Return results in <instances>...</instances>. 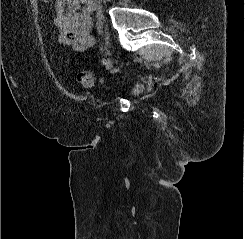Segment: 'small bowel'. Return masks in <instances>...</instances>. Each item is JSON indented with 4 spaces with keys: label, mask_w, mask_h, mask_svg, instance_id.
<instances>
[{
    "label": "small bowel",
    "mask_w": 245,
    "mask_h": 239,
    "mask_svg": "<svg viewBox=\"0 0 245 239\" xmlns=\"http://www.w3.org/2000/svg\"><path fill=\"white\" fill-rule=\"evenodd\" d=\"M96 7L97 0H56L54 24L60 32L59 42L78 52L91 48V15Z\"/></svg>",
    "instance_id": "1"
}]
</instances>
